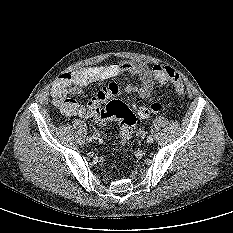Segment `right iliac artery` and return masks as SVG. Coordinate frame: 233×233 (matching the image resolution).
Returning <instances> with one entry per match:
<instances>
[{
  "mask_svg": "<svg viewBox=\"0 0 233 233\" xmlns=\"http://www.w3.org/2000/svg\"><path fill=\"white\" fill-rule=\"evenodd\" d=\"M92 139H93V138H92L91 136H89V137H87V139H86V140H87L88 142H91V141H92Z\"/></svg>",
  "mask_w": 233,
  "mask_h": 233,
  "instance_id": "obj_1",
  "label": "right iliac artery"
}]
</instances>
